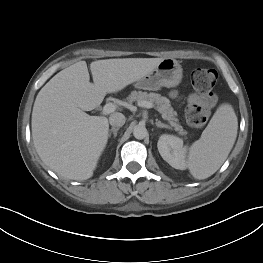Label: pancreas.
Listing matches in <instances>:
<instances>
[{
	"mask_svg": "<svg viewBox=\"0 0 263 263\" xmlns=\"http://www.w3.org/2000/svg\"><path fill=\"white\" fill-rule=\"evenodd\" d=\"M142 102L150 101L155 103L156 109L162 114V118L167 120L171 127L179 133V135H186L187 132L179 124V120L176 118V111L171 107L170 100L157 93H147L142 91H133L128 97V102ZM170 127V128H171Z\"/></svg>",
	"mask_w": 263,
	"mask_h": 263,
	"instance_id": "pancreas-1",
	"label": "pancreas"
}]
</instances>
